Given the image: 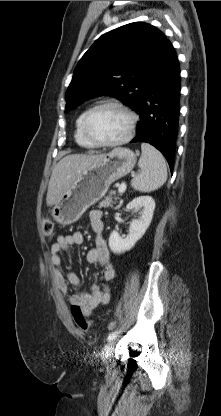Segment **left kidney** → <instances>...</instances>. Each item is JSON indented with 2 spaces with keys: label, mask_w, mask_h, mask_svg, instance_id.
Here are the masks:
<instances>
[{
  "label": "left kidney",
  "mask_w": 221,
  "mask_h": 416,
  "mask_svg": "<svg viewBox=\"0 0 221 416\" xmlns=\"http://www.w3.org/2000/svg\"><path fill=\"white\" fill-rule=\"evenodd\" d=\"M126 209H139L140 216L138 219L132 220L126 237H121L117 231H113L110 234L109 247L116 254L132 249L136 242L145 234L153 217L155 201L150 196L137 197L127 204Z\"/></svg>",
  "instance_id": "1"
}]
</instances>
